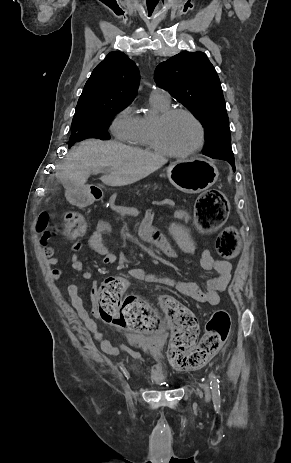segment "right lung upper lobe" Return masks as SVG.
Segmentation results:
<instances>
[{
    "label": "right lung upper lobe",
    "mask_w": 291,
    "mask_h": 463,
    "mask_svg": "<svg viewBox=\"0 0 291 463\" xmlns=\"http://www.w3.org/2000/svg\"><path fill=\"white\" fill-rule=\"evenodd\" d=\"M139 80L138 68L126 54L110 52L86 82L74 115L94 111L109 101L131 103Z\"/></svg>",
    "instance_id": "obj_1"
}]
</instances>
